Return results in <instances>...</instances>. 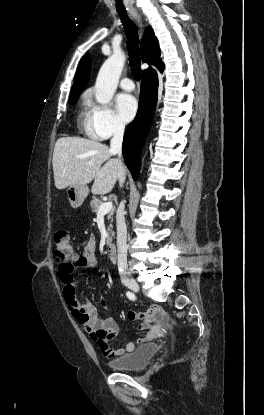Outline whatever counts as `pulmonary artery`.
<instances>
[{"label": "pulmonary artery", "instance_id": "1", "mask_svg": "<svg viewBox=\"0 0 264 415\" xmlns=\"http://www.w3.org/2000/svg\"><path fill=\"white\" fill-rule=\"evenodd\" d=\"M119 86L124 91H132L134 89V83L130 78H123L119 82Z\"/></svg>", "mask_w": 264, "mask_h": 415}]
</instances>
